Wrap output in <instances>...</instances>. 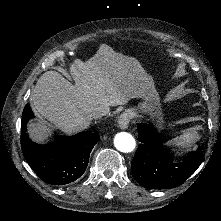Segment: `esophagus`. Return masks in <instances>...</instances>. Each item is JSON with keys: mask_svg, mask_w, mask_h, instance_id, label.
<instances>
[{"mask_svg": "<svg viewBox=\"0 0 221 221\" xmlns=\"http://www.w3.org/2000/svg\"><path fill=\"white\" fill-rule=\"evenodd\" d=\"M129 121V116L127 114H123L121 128H127Z\"/></svg>", "mask_w": 221, "mask_h": 221, "instance_id": "1", "label": "esophagus"}]
</instances>
